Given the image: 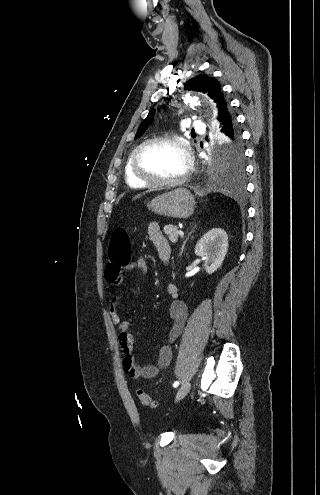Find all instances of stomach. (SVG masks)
Returning <instances> with one entry per match:
<instances>
[{"label":"stomach","instance_id":"1","mask_svg":"<svg viewBox=\"0 0 320 495\" xmlns=\"http://www.w3.org/2000/svg\"><path fill=\"white\" fill-rule=\"evenodd\" d=\"M195 200L185 188H178L155 197L147 204V208L157 215L188 218L193 214Z\"/></svg>","mask_w":320,"mask_h":495}]
</instances>
